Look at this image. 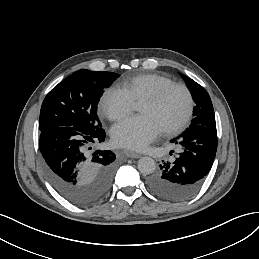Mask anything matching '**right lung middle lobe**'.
I'll use <instances>...</instances> for the list:
<instances>
[{
    "label": "right lung middle lobe",
    "instance_id": "1",
    "mask_svg": "<svg viewBox=\"0 0 259 259\" xmlns=\"http://www.w3.org/2000/svg\"><path fill=\"white\" fill-rule=\"evenodd\" d=\"M119 74L79 70L56 85L45 97L39 119V130L72 126L85 134L102 128L97 104L104 89Z\"/></svg>",
    "mask_w": 259,
    "mask_h": 259
}]
</instances>
